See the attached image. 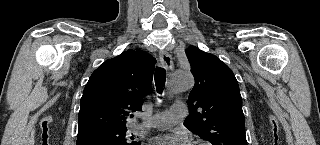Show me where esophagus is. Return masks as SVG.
Instances as JSON below:
<instances>
[{
	"label": "esophagus",
	"mask_w": 320,
	"mask_h": 145,
	"mask_svg": "<svg viewBox=\"0 0 320 145\" xmlns=\"http://www.w3.org/2000/svg\"><path fill=\"white\" fill-rule=\"evenodd\" d=\"M159 58L165 68H167L169 70H171L173 68L172 57L167 51H165V50L160 51Z\"/></svg>",
	"instance_id": "34e87169"
}]
</instances>
